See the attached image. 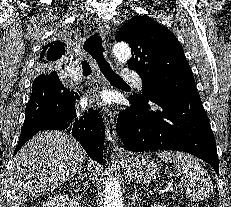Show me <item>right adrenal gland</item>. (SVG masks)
Listing matches in <instances>:
<instances>
[{
  "mask_svg": "<svg viewBox=\"0 0 231 207\" xmlns=\"http://www.w3.org/2000/svg\"><path fill=\"white\" fill-rule=\"evenodd\" d=\"M77 176L75 177V183L76 184H78V183H82V185L84 186V188H86V186H88V184H86L85 182H84V178H85V176H83L82 175V169L81 170H79L77 173ZM74 183V184H75Z\"/></svg>",
  "mask_w": 231,
  "mask_h": 207,
  "instance_id": "obj_1",
  "label": "right adrenal gland"
}]
</instances>
